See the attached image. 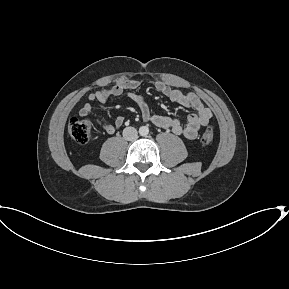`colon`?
Instances as JSON below:
<instances>
[{
  "label": "colon",
  "instance_id": "5ec220e1",
  "mask_svg": "<svg viewBox=\"0 0 289 289\" xmlns=\"http://www.w3.org/2000/svg\"><path fill=\"white\" fill-rule=\"evenodd\" d=\"M68 132L70 136L78 143L84 144L88 142L91 135V122L88 119H79L73 117L68 123ZM214 139V130L207 127L201 135V142L209 144Z\"/></svg>",
  "mask_w": 289,
  "mask_h": 289
}]
</instances>
